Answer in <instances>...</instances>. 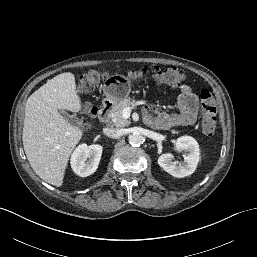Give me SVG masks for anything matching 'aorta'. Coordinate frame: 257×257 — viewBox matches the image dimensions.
<instances>
[{
	"instance_id": "762f6f07",
	"label": "aorta",
	"mask_w": 257,
	"mask_h": 257,
	"mask_svg": "<svg viewBox=\"0 0 257 257\" xmlns=\"http://www.w3.org/2000/svg\"><path fill=\"white\" fill-rule=\"evenodd\" d=\"M143 141V136L138 133L129 136V143L132 146H140L143 143Z\"/></svg>"
}]
</instances>
